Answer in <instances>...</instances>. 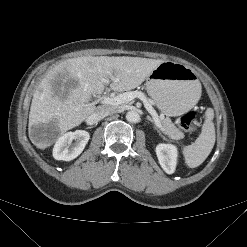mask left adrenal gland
I'll list each match as a JSON object with an SVG mask.
<instances>
[{
  "label": "left adrenal gland",
  "instance_id": "left-adrenal-gland-1",
  "mask_svg": "<svg viewBox=\"0 0 247 247\" xmlns=\"http://www.w3.org/2000/svg\"><path fill=\"white\" fill-rule=\"evenodd\" d=\"M147 120H149L150 122L154 123V120L148 115L147 117Z\"/></svg>",
  "mask_w": 247,
  "mask_h": 247
}]
</instances>
